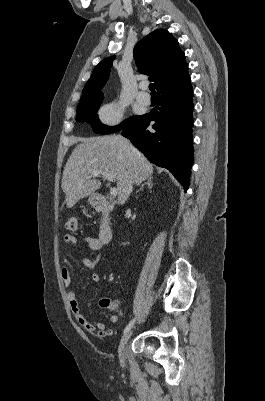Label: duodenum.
Masks as SVG:
<instances>
[{
	"label": "duodenum",
	"instance_id": "1",
	"mask_svg": "<svg viewBox=\"0 0 265 401\" xmlns=\"http://www.w3.org/2000/svg\"><path fill=\"white\" fill-rule=\"evenodd\" d=\"M94 209L103 215V220L99 229V240L105 245L111 242L113 238V230L106 220L107 215L109 214L111 205L109 201L101 196H97L93 201Z\"/></svg>",
	"mask_w": 265,
	"mask_h": 401
}]
</instances>
